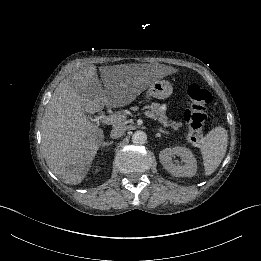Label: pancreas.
I'll list each match as a JSON object with an SVG mask.
<instances>
[{"mask_svg":"<svg viewBox=\"0 0 261 261\" xmlns=\"http://www.w3.org/2000/svg\"><path fill=\"white\" fill-rule=\"evenodd\" d=\"M154 115V120H158L164 127H171L174 130H178L180 127L183 126L182 122H175L172 120H168L166 116V109L159 103H152V110L150 111Z\"/></svg>","mask_w":261,"mask_h":261,"instance_id":"obj_1","label":"pancreas"}]
</instances>
